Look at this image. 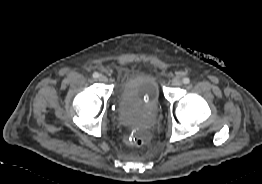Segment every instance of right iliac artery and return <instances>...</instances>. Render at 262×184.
I'll return each mask as SVG.
<instances>
[{
    "mask_svg": "<svg viewBox=\"0 0 262 184\" xmlns=\"http://www.w3.org/2000/svg\"><path fill=\"white\" fill-rule=\"evenodd\" d=\"M93 77H94V78H98V77H99V73H98V72H94V73H93Z\"/></svg>",
    "mask_w": 262,
    "mask_h": 184,
    "instance_id": "right-iliac-artery-1",
    "label": "right iliac artery"
}]
</instances>
